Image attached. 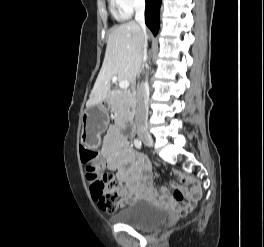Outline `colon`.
<instances>
[{
    "mask_svg": "<svg viewBox=\"0 0 264 247\" xmlns=\"http://www.w3.org/2000/svg\"><path fill=\"white\" fill-rule=\"evenodd\" d=\"M81 161L85 165V176L89 183L93 199L99 207L106 212H115L123 203L120 195L119 184L112 174L102 172L99 156L96 151L81 150ZM199 195L178 200L174 208L178 215L189 213L196 205Z\"/></svg>",
    "mask_w": 264,
    "mask_h": 247,
    "instance_id": "1",
    "label": "colon"
}]
</instances>
